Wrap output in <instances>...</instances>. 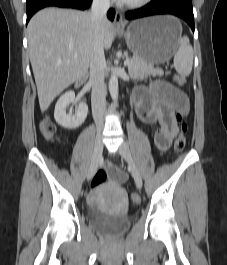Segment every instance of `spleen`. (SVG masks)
Instances as JSON below:
<instances>
[{"label": "spleen", "instance_id": "obj_1", "mask_svg": "<svg viewBox=\"0 0 227 265\" xmlns=\"http://www.w3.org/2000/svg\"><path fill=\"white\" fill-rule=\"evenodd\" d=\"M174 66L176 71L182 76H188L191 73L193 49L187 36H183L179 40V48L174 56Z\"/></svg>", "mask_w": 227, "mask_h": 265}]
</instances>
